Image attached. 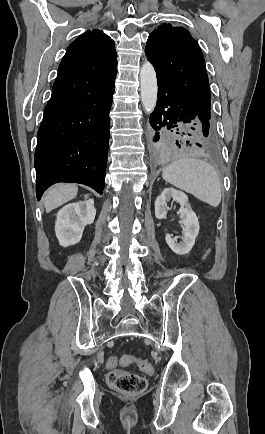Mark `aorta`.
Instances as JSON below:
<instances>
[{
  "label": "aorta",
  "instance_id": "1",
  "mask_svg": "<svg viewBox=\"0 0 265 434\" xmlns=\"http://www.w3.org/2000/svg\"><path fill=\"white\" fill-rule=\"evenodd\" d=\"M140 94L142 106L146 114H152L157 104V78L156 72L150 62H144L140 70Z\"/></svg>",
  "mask_w": 265,
  "mask_h": 434
}]
</instances>
